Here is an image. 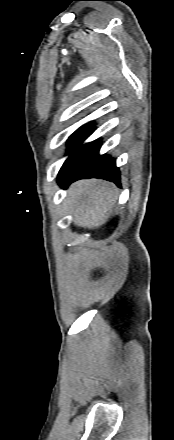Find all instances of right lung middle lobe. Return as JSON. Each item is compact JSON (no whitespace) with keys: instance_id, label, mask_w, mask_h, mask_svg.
<instances>
[{"instance_id":"right-lung-middle-lobe-1","label":"right lung middle lobe","mask_w":174,"mask_h":440,"mask_svg":"<svg viewBox=\"0 0 174 440\" xmlns=\"http://www.w3.org/2000/svg\"><path fill=\"white\" fill-rule=\"evenodd\" d=\"M93 131H94V125L92 123H88L80 127L69 137L68 153L70 154V156L65 161L62 168L59 171L58 174L59 180L70 175L76 169L88 145L86 144L81 146V144Z\"/></svg>"}]
</instances>
